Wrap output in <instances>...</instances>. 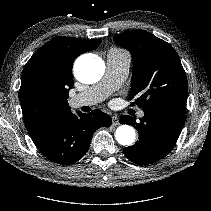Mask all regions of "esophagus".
Masks as SVG:
<instances>
[{
	"label": "esophagus",
	"mask_w": 211,
	"mask_h": 211,
	"mask_svg": "<svg viewBox=\"0 0 211 211\" xmlns=\"http://www.w3.org/2000/svg\"><path fill=\"white\" fill-rule=\"evenodd\" d=\"M112 124H113L114 126H117V125L120 124V123H119V118H118L117 116H113V117H112Z\"/></svg>",
	"instance_id": "1"
}]
</instances>
